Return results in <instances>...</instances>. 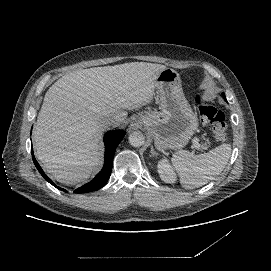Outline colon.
Instances as JSON below:
<instances>
[{
  "instance_id": "5ec220e1",
  "label": "colon",
  "mask_w": 271,
  "mask_h": 271,
  "mask_svg": "<svg viewBox=\"0 0 271 271\" xmlns=\"http://www.w3.org/2000/svg\"><path fill=\"white\" fill-rule=\"evenodd\" d=\"M196 102L202 121L212 126L215 139L218 142H224L227 137V124L224 114L204 100L201 95H197Z\"/></svg>"
}]
</instances>
